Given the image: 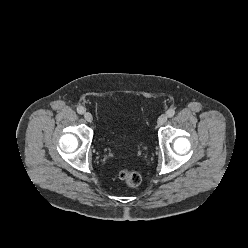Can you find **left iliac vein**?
<instances>
[{
	"instance_id": "left-iliac-vein-1",
	"label": "left iliac vein",
	"mask_w": 248,
	"mask_h": 248,
	"mask_svg": "<svg viewBox=\"0 0 248 248\" xmlns=\"http://www.w3.org/2000/svg\"><path fill=\"white\" fill-rule=\"evenodd\" d=\"M166 121H167V115H166V114H162V115L158 118L157 124H158L159 126H162V125H164V124L166 123Z\"/></svg>"
}]
</instances>
